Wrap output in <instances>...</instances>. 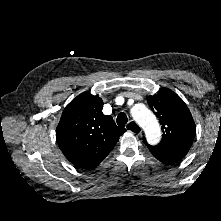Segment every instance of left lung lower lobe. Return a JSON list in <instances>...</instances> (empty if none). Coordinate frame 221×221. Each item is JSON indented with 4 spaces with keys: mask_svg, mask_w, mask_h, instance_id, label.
Masks as SVG:
<instances>
[{
    "mask_svg": "<svg viewBox=\"0 0 221 221\" xmlns=\"http://www.w3.org/2000/svg\"><path fill=\"white\" fill-rule=\"evenodd\" d=\"M191 146H181L176 149L162 150L148 147L153 156L164 164L175 163L186 156Z\"/></svg>",
    "mask_w": 221,
    "mask_h": 221,
    "instance_id": "obj_1",
    "label": "left lung lower lobe"
}]
</instances>
